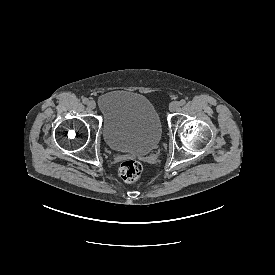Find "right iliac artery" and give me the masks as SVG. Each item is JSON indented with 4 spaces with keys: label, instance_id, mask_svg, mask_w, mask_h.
I'll return each mask as SVG.
<instances>
[{
    "label": "right iliac artery",
    "instance_id": "right-iliac-artery-1",
    "mask_svg": "<svg viewBox=\"0 0 275 275\" xmlns=\"http://www.w3.org/2000/svg\"><path fill=\"white\" fill-rule=\"evenodd\" d=\"M82 101H83V103H84V104H88V103H89V99H88V98H86V97H85V98H83V99H82Z\"/></svg>",
    "mask_w": 275,
    "mask_h": 275
}]
</instances>
